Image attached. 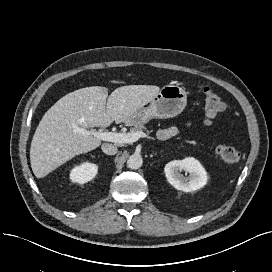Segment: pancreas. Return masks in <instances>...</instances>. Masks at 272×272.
Wrapping results in <instances>:
<instances>
[{"label": "pancreas", "mask_w": 272, "mask_h": 272, "mask_svg": "<svg viewBox=\"0 0 272 272\" xmlns=\"http://www.w3.org/2000/svg\"><path fill=\"white\" fill-rule=\"evenodd\" d=\"M144 130H147V128L143 124L135 125L134 128H132L131 132H142Z\"/></svg>", "instance_id": "pancreas-1"}]
</instances>
